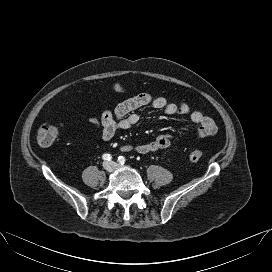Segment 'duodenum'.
<instances>
[{
	"label": "duodenum",
	"instance_id": "obj_1",
	"mask_svg": "<svg viewBox=\"0 0 272 272\" xmlns=\"http://www.w3.org/2000/svg\"><path fill=\"white\" fill-rule=\"evenodd\" d=\"M123 150H124V151H126V150H127V148H126V147H123Z\"/></svg>",
	"mask_w": 272,
	"mask_h": 272
}]
</instances>
